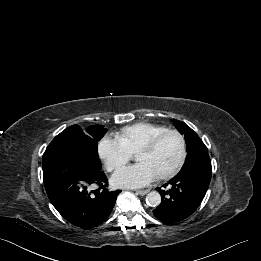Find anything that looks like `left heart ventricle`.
<instances>
[{"label": "left heart ventricle", "mask_w": 261, "mask_h": 261, "mask_svg": "<svg viewBox=\"0 0 261 261\" xmlns=\"http://www.w3.org/2000/svg\"><path fill=\"white\" fill-rule=\"evenodd\" d=\"M180 156V141L176 135L163 137L154 150L135 154L137 162L145 164L156 176L171 170Z\"/></svg>", "instance_id": "left-heart-ventricle-1"}]
</instances>
